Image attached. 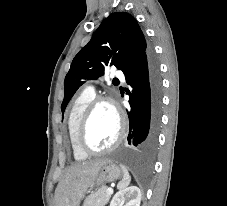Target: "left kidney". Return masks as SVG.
<instances>
[{"instance_id": "obj_1", "label": "left kidney", "mask_w": 227, "mask_h": 206, "mask_svg": "<svg viewBox=\"0 0 227 206\" xmlns=\"http://www.w3.org/2000/svg\"><path fill=\"white\" fill-rule=\"evenodd\" d=\"M140 206L141 191L136 186L127 187L118 191L112 198L110 206Z\"/></svg>"}]
</instances>
